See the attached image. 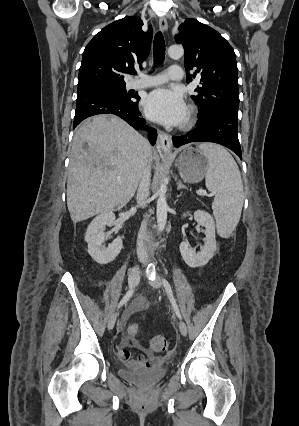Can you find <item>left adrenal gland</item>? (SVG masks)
I'll return each instance as SVG.
<instances>
[{
  "mask_svg": "<svg viewBox=\"0 0 299 426\" xmlns=\"http://www.w3.org/2000/svg\"><path fill=\"white\" fill-rule=\"evenodd\" d=\"M180 189H187V187L181 182V180H178L177 190H180Z\"/></svg>",
  "mask_w": 299,
  "mask_h": 426,
  "instance_id": "1",
  "label": "left adrenal gland"
}]
</instances>
